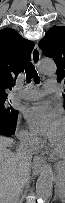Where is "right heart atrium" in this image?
Segmentation results:
<instances>
[{"label":"right heart atrium","mask_w":65,"mask_h":203,"mask_svg":"<svg viewBox=\"0 0 65 203\" xmlns=\"http://www.w3.org/2000/svg\"><path fill=\"white\" fill-rule=\"evenodd\" d=\"M18 137L22 144L27 148H34L39 144V138L29 129L23 128L20 130Z\"/></svg>","instance_id":"d8ad5b80"}]
</instances>
